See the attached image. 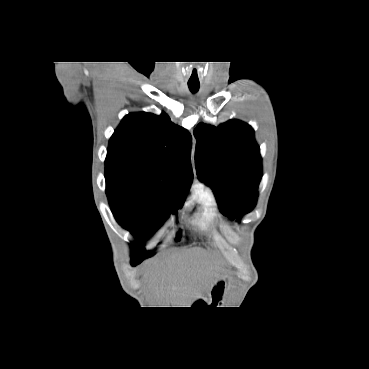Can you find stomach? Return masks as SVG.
<instances>
[{"label":"stomach","instance_id":"1","mask_svg":"<svg viewBox=\"0 0 369 369\" xmlns=\"http://www.w3.org/2000/svg\"><path fill=\"white\" fill-rule=\"evenodd\" d=\"M229 283V278H221L218 279L211 287V297L215 300V298H222L224 293L227 290V286Z\"/></svg>","mask_w":369,"mask_h":369}]
</instances>
